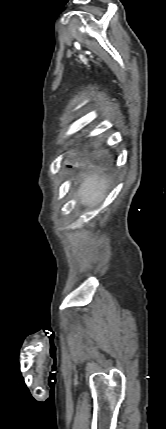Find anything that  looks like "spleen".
<instances>
[{"instance_id":"obj_1","label":"spleen","mask_w":166,"mask_h":429,"mask_svg":"<svg viewBox=\"0 0 166 429\" xmlns=\"http://www.w3.org/2000/svg\"><path fill=\"white\" fill-rule=\"evenodd\" d=\"M108 189V180L104 176L96 174L84 178L77 197L83 205L93 208L97 206L105 197Z\"/></svg>"}]
</instances>
